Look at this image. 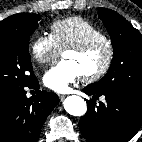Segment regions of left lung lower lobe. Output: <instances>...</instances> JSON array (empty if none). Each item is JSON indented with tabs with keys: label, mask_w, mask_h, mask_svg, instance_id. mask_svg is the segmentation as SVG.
<instances>
[{
	"label": "left lung lower lobe",
	"mask_w": 142,
	"mask_h": 142,
	"mask_svg": "<svg viewBox=\"0 0 142 142\" xmlns=\"http://www.w3.org/2000/svg\"><path fill=\"white\" fill-rule=\"evenodd\" d=\"M83 91L93 100L105 96V103L97 106L86 100L87 113L80 120V128L87 142H128L142 125V94L126 90L98 91L89 85Z\"/></svg>",
	"instance_id": "1"
}]
</instances>
